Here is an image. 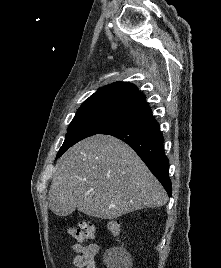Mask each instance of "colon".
Returning a JSON list of instances; mask_svg holds the SVG:
<instances>
[{
  "mask_svg": "<svg viewBox=\"0 0 221 268\" xmlns=\"http://www.w3.org/2000/svg\"><path fill=\"white\" fill-rule=\"evenodd\" d=\"M108 229L112 234L118 235L121 232V224L119 221H109ZM68 232L75 240L84 243L94 238L95 226L91 222H82L78 226L70 227Z\"/></svg>",
  "mask_w": 221,
  "mask_h": 268,
  "instance_id": "1",
  "label": "colon"
}]
</instances>
